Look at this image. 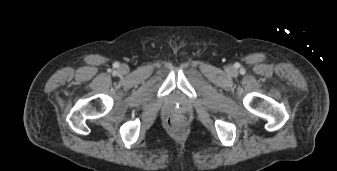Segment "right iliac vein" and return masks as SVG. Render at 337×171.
Instances as JSON below:
<instances>
[{
  "mask_svg": "<svg viewBox=\"0 0 337 171\" xmlns=\"http://www.w3.org/2000/svg\"><path fill=\"white\" fill-rule=\"evenodd\" d=\"M120 70H121L122 72H127L128 68H127V66L122 65V66L120 67Z\"/></svg>",
  "mask_w": 337,
  "mask_h": 171,
  "instance_id": "63e3f726",
  "label": "right iliac vein"
}]
</instances>
